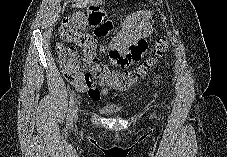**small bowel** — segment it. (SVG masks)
<instances>
[{"label":"small bowel","mask_w":227,"mask_h":157,"mask_svg":"<svg viewBox=\"0 0 227 157\" xmlns=\"http://www.w3.org/2000/svg\"><path fill=\"white\" fill-rule=\"evenodd\" d=\"M152 16L151 10H140L130 14L120 32L111 39L108 46H101L99 51L107 53L110 63L115 66L125 67L130 64L129 62H139V58L145 54L144 38L153 32V26L150 23ZM139 78H135L133 83ZM74 86L78 91L88 94L95 102L109 94V88L106 85L99 89L96 85L89 84L81 72Z\"/></svg>","instance_id":"small-bowel-1"}]
</instances>
